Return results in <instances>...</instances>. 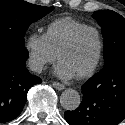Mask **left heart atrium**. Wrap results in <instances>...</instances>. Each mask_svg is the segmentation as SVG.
Here are the masks:
<instances>
[{
	"instance_id": "39dd6f15",
	"label": "left heart atrium",
	"mask_w": 125,
	"mask_h": 125,
	"mask_svg": "<svg viewBox=\"0 0 125 125\" xmlns=\"http://www.w3.org/2000/svg\"><path fill=\"white\" fill-rule=\"evenodd\" d=\"M55 73L62 79H70L74 76L72 72L66 67V65L61 61L55 67Z\"/></svg>"
}]
</instances>
